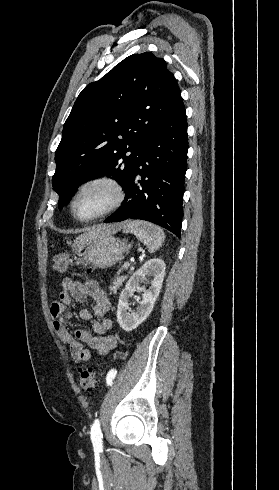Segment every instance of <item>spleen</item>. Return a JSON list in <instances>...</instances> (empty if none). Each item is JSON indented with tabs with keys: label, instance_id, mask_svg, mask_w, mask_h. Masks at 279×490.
<instances>
[{
	"label": "spleen",
	"instance_id": "3e777b00",
	"mask_svg": "<svg viewBox=\"0 0 279 490\" xmlns=\"http://www.w3.org/2000/svg\"><path fill=\"white\" fill-rule=\"evenodd\" d=\"M123 232L125 234H134L137 240L144 242L148 248V252L153 254L158 248H161L164 242V232L155 224H150V222H142V220H127L124 224Z\"/></svg>",
	"mask_w": 279,
	"mask_h": 490
}]
</instances>
